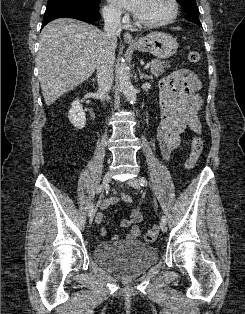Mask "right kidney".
<instances>
[{
    "label": "right kidney",
    "instance_id": "1",
    "mask_svg": "<svg viewBox=\"0 0 245 314\" xmlns=\"http://www.w3.org/2000/svg\"><path fill=\"white\" fill-rule=\"evenodd\" d=\"M69 121L78 129H82L86 125V114L79 100L76 99L71 103V109L68 113Z\"/></svg>",
    "mask_w": 245,
    "mask_h": 314
}]
</instances>
